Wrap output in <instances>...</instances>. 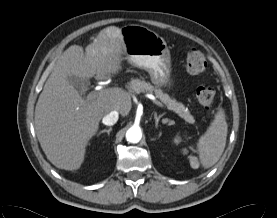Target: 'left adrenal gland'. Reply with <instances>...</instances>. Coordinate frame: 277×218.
Wrapping results in <instances>:
<instances>
[{
	"label": "left adrenal gland",
	"instance_id": "obj_1",
	"mask_svg": "<svg viewBox=\"0 0 277 218\" xmlns=\"http://www.w3.org/2000/svg\"><path fill=\"white\" fill-rule=\"evenodd\" d=\"M163 116H164V114H161V115H159V116L157 115V113L154 114L155 127H156V128H158L159 121H160V119H161ZM167 122H169L168 119H164V120H163V123H167Z\"/></svg>",
	"mask_w": 277,
	"mask_h": 218
}]
</instances>
